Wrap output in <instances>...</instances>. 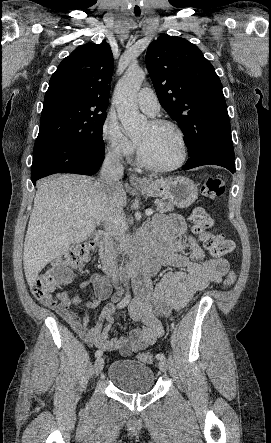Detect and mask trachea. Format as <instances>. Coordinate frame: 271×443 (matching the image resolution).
I'll list each match as a JSON object with an SVG mask.
<instances>
[{
  "instance_id": "3493384b",
  "label": "trachea",
  "mask_w": 271,
  "mask_h": 443,
  "mask_svg": "<svg viewBox=\"0 0 271 443\" xmlns=\"http://www.w3.org/2000/svg\"><path fill=\"white\" fill-rule=\"evenodd\" d=\"M133 7H138V2H133ZM133 15H134V17H136V18H139V17H141V15H142V12H141V10H139V9H136V10H134V12H133Z\"/></svg>"
}]
</instances>
